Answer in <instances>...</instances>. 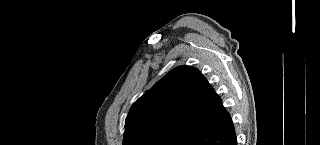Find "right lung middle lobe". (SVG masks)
Masks as SVG:
<instances>
[{
  "mask_svg": "<svg viewBox=\"0 0 320 145\" xmlns=\"http://www.w3.org/2000/svg\"><path fill=\"white\" fill-rule=\"evenodd\" d=\"M179 132L178 131H163L151 134L139 142L136 145H167V143Z\"/></svg>",
  "mask_w": 320,
  "mask_h": 145,
  "instance_id": "right-lung-middle-lobe-1",
  "label": "right lung middle lobe"
}]
</instances>
